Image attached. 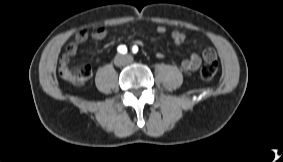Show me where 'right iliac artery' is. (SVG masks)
Instances as JSON below:
<instances>
[{
  "label": "right iliac artery",
  "mask_w": 283,
  "mask_h": 162,
  "mask_svg": "<svg viewBox=\"0 0 283 162\" xmlns=\"http://www.w3.org/2000/svg\"><path fill=\"white\" fill-rule=\"evenodd\" d=\"M118 52L122 53V54H125L127 52V48L125 45H120L118 47Z\"/></svg>",
  "instance_id": "82829eb1"
}]
</instances>
